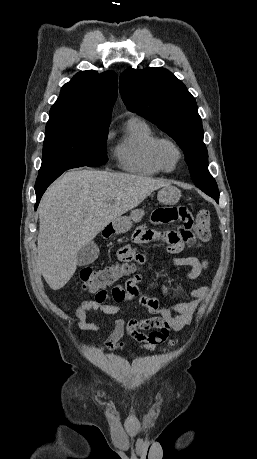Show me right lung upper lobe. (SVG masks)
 <instances>
[{
    "mask_svg": "<svg viewBox=\"0 0 257 459\" xmlns=\"http://www.w3.org/2000/svg\"><path fill=\"white\" fill-rule=\"evenodd\" d=\"M118 77L112 71L78 72L65 84L50 110L52 117H65L94 124H110L117 97Z\"/></svg>",
    "mask_w": 257,
    "mask_h": 459,
    "instance_id": "obj_1",
    "label": "right lung upper lobe"
}]
</instances>
